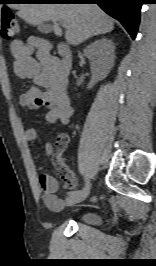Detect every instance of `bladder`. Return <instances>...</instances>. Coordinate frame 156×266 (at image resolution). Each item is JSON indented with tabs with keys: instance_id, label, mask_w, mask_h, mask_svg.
Returning <instances> with one entry per match:
<instances>
[{
	"instance_id": "1",
	"label": "bladder",
	"mask_w": 156,
	"mask_h": 266,
	"mask_svg": "<svg viewBox=\"0 0 156 266\" xmlns=\"http://www.w3.org/2000/svg\"><path fill=\"white\" fill-rule=\"evenodd\" d=\"M77 219L80 222L86 223V224H91V225H95L99 222V216L96 212L94 211H83L81 213L78 214Z\"/></svg>"
}]
</instances>
